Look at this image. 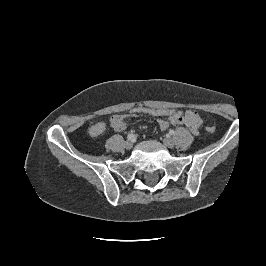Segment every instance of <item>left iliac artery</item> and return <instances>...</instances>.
Segmentation results:
<instances>
[{
	"instance_id": "left-iliac-artery-1",
	"label": "left iliac artery",
	"mask_w": 266,
	"mask_h": 266,
	"mask_svg": "<svg viewBox=\"0 0 266 266\" xmlns=\"http://www.w3.org/2000/svg\"><path fill=\"white\" fill-rule=\"evenodd\" d=\"M169 133H170L171 135H174L175 132H174V130H170Z\"/></svg>"
}]
</instances>
